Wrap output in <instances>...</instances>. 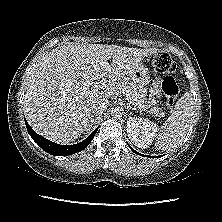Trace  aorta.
Masks as SVG:
<instances>
[{
    "label": "aorta",
    "mask_w": 222,
    "mask_h": 222,
    "mask_svg": "<svg viewBox=\"0 0 222 222\" xmlns=\"http://www.w3.org/2000/svg\"><path fill=\"white\" fill-rule=\"evenodd\" d=\"M123 108L120 106H116L114 108L111 109V115L115 118H120L123 115Z\"/></svg>",
    "instance_id": "obj_1"
}]
</instances>
